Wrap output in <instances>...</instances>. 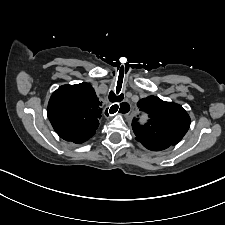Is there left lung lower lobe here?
<instances>
[{
	"instance_id": "1",
	"label": "left lung lower lobe",
	"mask_w": 225,
	"mask_h": 225,
	"mask_svg": "<svg viewBox=\"0 0 225 225\" xmlns=\"http://www.w3.org/2000/svg\"><path fill=\"white\" fill-rule=\"evenodd\" d=\"M138 141L141 142L144 147H146L147 149L152 150V151H161V150H164L169 147V146H165V145L148 143V142H144V141H140V140H138Z\"/></svg>"
}]
</instances>
